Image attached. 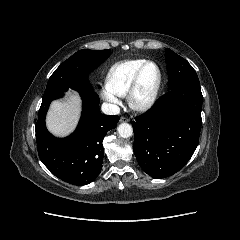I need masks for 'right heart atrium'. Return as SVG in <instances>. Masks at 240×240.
<instances>
[{
    "instance_id": "1",
    "label": "right heart atrium",
    "mask_w": 240,
    "mask_h": 240,
    "mask_svg": "<svg viewBox=\"0 0 240 240\" xmlns=\"http://www.w3.org/2000/svg\"><path fill=\"white\" fill-rule=\"evenodd\" d=\"M102 96L103 98L111 103L112 105H117L118 104V98L117 95L109 91L107 88L102 91Z\"/></svg>"
}]
</instances>
